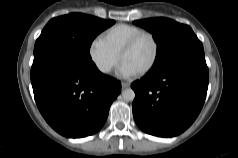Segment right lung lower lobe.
Here are the masks:
<instances>
[{
	"mask_svg": "<svg viewBox=\"0 0 238 158\" xmlns=\"http://www.w3.org/2000/svg\"><path fill=\"white\" fill-rule=\"evenodd\" d=\"M31 83L44 119L69 138L99 131L121 92L120 81L102 74L92 60L56 45L34 53Z\"/></svg>",
	"mask_w": 238,
	"mask_h": 158,
	"instance_id": "1",
	"label": "right lung lower lobe"
}]
</instances>
